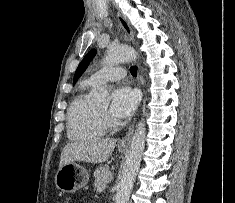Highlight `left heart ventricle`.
<instances>
[{
  "label": "left heart ventricle",
  "instance_id": "obj_1",
  "mask_svg": "<svg viewBox=\"0 0 235 203\" xmlns=\"http://www.w3.org/2000/svg\"><path fill=\"white\" fill-rule=\"evenodd\" d=\"M108 105H102L100 106V109H102L103 111H107Z\"/></svg>",
  "mask_w": 235,
  "mask_h": 203
}]
</instances>
